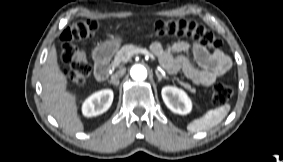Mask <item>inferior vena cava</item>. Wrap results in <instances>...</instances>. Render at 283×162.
Wrapping results in <instances>:
<instances>
[{
    "label": "inferior vena cava",
    "instance_id": "obj_1",
    "mask_svg": "<svg viewBox=\"0 0 283 162\" xmlns=\"http://www.w3.org/2000/svg\"><path fill=\"white\" fill-rule=\"evenodd\" d=\"M125 74V69H121L111 76V81L119 82V79Z\"/></svg>",
    "mask_w": 283,
    "mask_h": 162
}]
</instances>
